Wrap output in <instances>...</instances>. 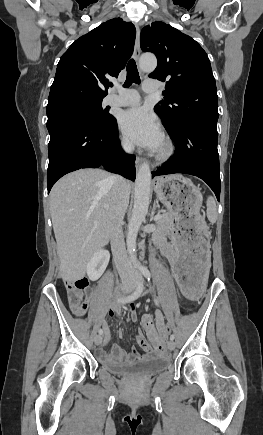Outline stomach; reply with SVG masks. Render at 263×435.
<instances>
[{"label":"stomach","instance_id":"stomach-1","mask_svg":"<svg viewBox=\"0 0 263 435\" xmlns=\"http://www.w3.org/2000/svg\"><path fill=\"white\" fill-rule=\"evenodd\" d=\"M157 198L172 209L177 224L170 225L181 260L176 262L172 282L180 288V299H203L210 288L207 262L210 261L211 238L207 216H202V194L193 182L182 175L159 177L154 184Z\"/></svg>","mask_w":263,"mask_h":435}]
</instances>
